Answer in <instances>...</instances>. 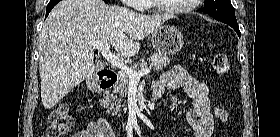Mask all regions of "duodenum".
Returning <instances> with one entry per match:
<instances>
[{
  "label": "duodenum",
  "instance_id": "1",
  "mask_svg": "<svg viewBox=\"0 0 280 137\" xmlns=\"http://www.w3.org/2000/svg\"><path fill=\"white\" fill-rule=\"evenodd\" d=\"M118 75L115 71H107L100 79L95 83V89L97 92L109 90L116 85Z\"/></svg>",
  "mask_w": 280,
  "mask_h": 137
}]
</instances>
